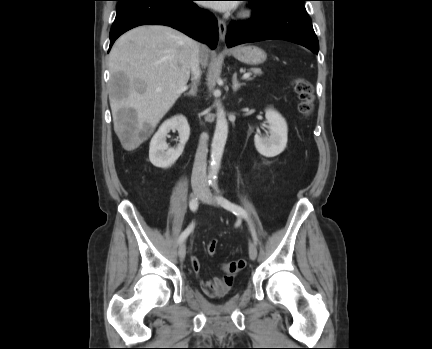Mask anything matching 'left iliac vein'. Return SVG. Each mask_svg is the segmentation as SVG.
Listing matches in <instances>:
<instances>
[{"instance_id":"obj_1","label":"left iliac vein","mask_w":432,"mask_h":349,"mask_svg":"<svg viewBox=\"0 0 432 349\" xmlns=\"http://www.w3.org/2000/svg\"><path fill=\"white\" fill-rule=\"evenodd\" d=\"M201 200L213 205H218L215 196L210 192L209 189H204L203 194L201 195ZM258 250L256 244L253 241L249 242V257L251 260H255L257 258Z\"/></svg>"}]
</instances>
